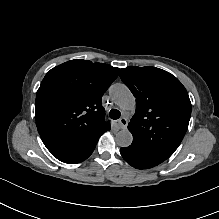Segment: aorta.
Listing matches in <instances>:
<instances>
[{
	"instance_id": "aorta-1",
	"label": "aorta",
	"mask_w": 219,
	"mask_h": 219,
	"mask_svg": "<svg viewBox=\"0 0 219 219\" xmlns=\"http://www.w3.org/2000/svg\"><path fill=\"white\" fill-rule=\"evenodd\" d=\"M109 94L122 110H131L135 108V98L124 84L115 83L111 85ZM115 140L118 146L128 147L132 144L133 136L128 129H122L117 132Z\"/></svg>"
}]
</instances>
